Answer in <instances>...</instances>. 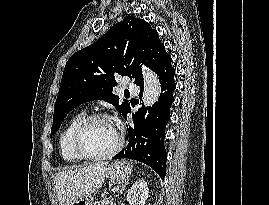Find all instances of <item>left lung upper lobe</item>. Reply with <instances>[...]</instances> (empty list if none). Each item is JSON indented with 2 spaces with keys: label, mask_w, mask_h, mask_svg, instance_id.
Listing matches in <instances>:
<instances>
[{
  "label": "left lung upper lobe",
  "mask_w": 269,
  "mask_h": 205,
  "mask_svg": "<svg viewBox=\"0 0 269 205\" xmlns=\"http://www.w3.org/2000/svg\"><path fill=\"white\" fill-rule=\"evenodd\" d=\"M168 54L158 33L146 21L127 16L114 24L92 45L73 54L65 65L55 103L51 137L65 116L78 105L91 100H104L114 105L122 115L130 108L125 100L119 103L114 94L115 77L133 78L143 84L140 63L152 71Z\"/></svg>",
  "instance_id": "obj_1"
}]
</instances>
